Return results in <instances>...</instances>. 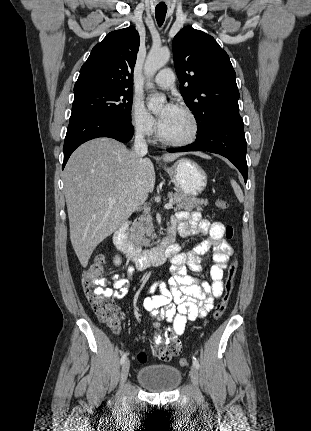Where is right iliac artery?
<instances>
[{
  "instance_id": "obj_1",
  "label": "right iliac artery",
  "mask_w": 311,
  "mask_h": 431,
  "mask_svg": "<svg viewBox=\"0 0 311 431\" xmlns=\"http://www.w3.org/2000/svg\"><path fill=\"white\" fill-rule=\"evenodd\" d=\"M126 358H127V353H124L120 360L121 364H123L126 361Z\"/></svg>"
}]
</instances>
